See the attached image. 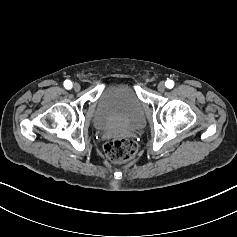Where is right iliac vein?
<instances>
[{
  "label": "right iliac vein",
  "mask_w": 237,
  "mask_h": 237,
  "mask_svg": "<svg viewBox=\"0 0 237 237\" xmlns=\"http://www.w3.org/2000/svg\"><path fill=\"white\" fill-rule=\"evenodd\" d=\"M73 88H74L75 91H79L81 87L78 83H75Z\"/></svg>",
  "instance_id": "obj_1"
}]
</instances>
